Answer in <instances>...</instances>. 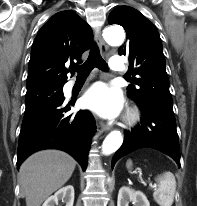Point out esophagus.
Returning <instances> with one entry per match:
<instances>
[{
	"mask_svg": "<svg viewBox=\"0 0 197 206\" xmlns=\"http://www.w3.org/2000/svg\"><path fill=\"white\" fill-rule=\"evenodd\" d=\"M96 41L99 45V48H100V51L105 54L108 50V46L106 45V43L104 42L102 36L100 33H97L96 35ZM100 126L101 128L104 130V131H108L111 129V127L105 123H100Z\"/></svg>",
	"mask_w": 197,
	"mask_h": 206,
	"instance_id": "obj_1",
	"label": "esophagus"
}]
</instances>
